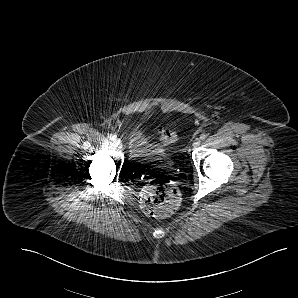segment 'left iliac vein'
I'll return each mask as SVG.
<instances>
[{
    "mask_svg": "<svg viewBox=\"0 0 298 298\" xmlns=\"http://www.w3.org/2000/svg\"><path fill=\"white\" fill-rule=\"evenodd\" d=\"M200 144H201V140L199 138H196L192 145L194 148H197L200 146Z\"/></svg>",
    "mask_w": 298,
    "mask_h": 298,
    "instance_id": "4c4485c4",
    "label": "left iliac vein"
}]
</instances>
